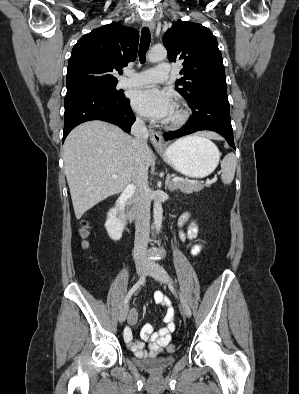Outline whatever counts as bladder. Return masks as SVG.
<instances>
[{"label":"bladder","instance_id":"1","mask_svg":"<svg viewBox=\"0 0 299 394\" xmlns=\"http://www.w3.org/2000/svg\"><path fill=\"white\" fill-rule=\"evenodd\" d=\"M175 362H176V355L174 354L153 357V358H139V357L134 358V363L138 367L152 374L161 373L169 369L171 366L174 365Z\"/></svg>","mask_w":299,"mask_h":394}]
</instances>
